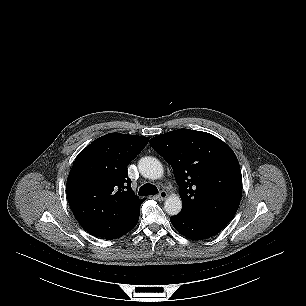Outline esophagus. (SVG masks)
Here are the masks:
<instances>
[{"label": "esophagus", "mask_w": 306, "mask_h": 306, "mask_svg": "<svg viewBox=\"0 0 306 306\" xmlns=\"http://www.w3.org/2000/svg\"><path fill=\"white\" fill-rule=\"evenodd\" d=\"M167 197H168V193L163 190L156 196V199L158 201H164Z\"/></svg>", "instance_id": "obj_1"}]
</instances>
